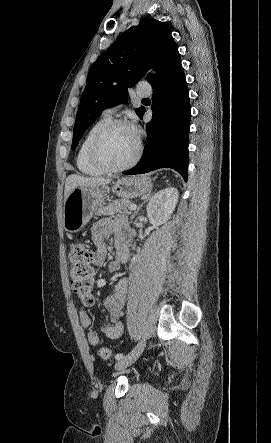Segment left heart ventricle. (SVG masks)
<instances>
[{
    "mask_svg": "<svg viewBox=\"0 0 271 443\" xmlns=\"http://www.w3.org/2000/svg\"><path fill=\"white\" fill-rule=\"evenodd\" d=\"M135 150V135L131 129L124 126L113 129L102 146L104 158L113 166L126 163L133 156Z\"/></svg>",
    "mask_w": 271,
    "mask_h": 443,
    "instance_id": "b2bd125f",
    "label": "left heart ventricle"
}]
</instances>
